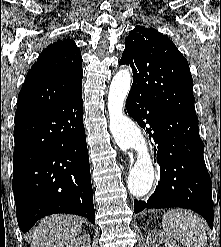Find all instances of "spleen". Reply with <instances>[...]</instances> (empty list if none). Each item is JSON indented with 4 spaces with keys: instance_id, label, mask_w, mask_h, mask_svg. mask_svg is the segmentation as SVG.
Masks as SVG:
<instances>
[{
    "instance_id": "spleen-1",
    "label": "spleen",
    "mask_w": 221,
    "mask_h": 247,
    "mask_svg": "<svg viewBox=\"0 0 221 247\" xmlns=\"http://www.w3.org/2000/svg\"><path fill=\"white\" fill-rule=\"evenodd\" d=\"M164 233L185 247H206L204 221L192 212L171 209L163 215Z\"/></svg>"
}]
</instances>
